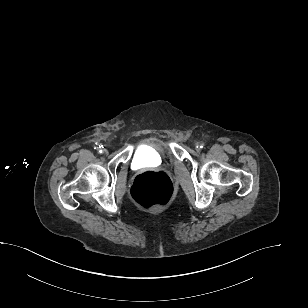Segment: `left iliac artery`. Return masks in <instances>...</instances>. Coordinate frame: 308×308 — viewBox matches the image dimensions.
<instances>
[{"mask_svg": "<svg viewBox=\"0 0 308 308\" xmlns=\"http://www.w3.org/2000/svg\"><path fill=\"white\" fill-rule=\"evenodd\" d=\"M199 147L203 148L204 147V143H200Z\"/></svg>", "mask_w": 308, "mask_h": 308, "instance_id": "obj_1", "label": "left iliac artery"}]
</instances>
